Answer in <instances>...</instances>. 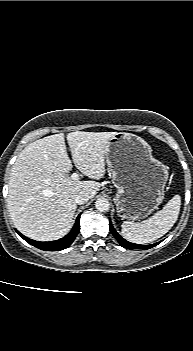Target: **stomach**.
<instances>
[{
  "instance_id": "obj_1",
  "label": "stomach",
  "mask_w": 193,
  "mask_h": 351,
  "mask_svg": "<svg viewBox=\"0 0 193 351\" xmlns=\"http://www.w3.org/2000/svg\"><path fill=\"white\" fill-rule=\"evenodd\" d=\"M106 162L117 188L116 206L123 219L148 217L164 199L168 169L152 155L150 145L131 133L109 140Z\"/></svg>"
}]
</instances>
